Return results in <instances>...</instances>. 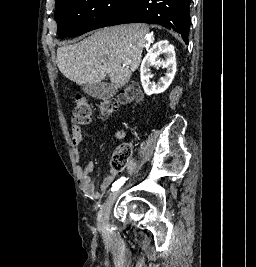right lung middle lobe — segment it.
Instances as JSON below:
<instances>
[{
	"label": "right lung middle lobe",
	"mask_w": 256,
	"mask_h": 267,
	"mask_svg": "<svg viewBox=\"0 0 256 267\" xmlns=\"http://www.w3.org/2000/svg\"><path fill=\"white\" fill-rule=\"evenodd\" d=\"M137 0H59L55 20L59 37L79 36L101 28L128 11Z\"/></svg>",
	"instance_id": "right-lung-middle-lobe-1"
}]
</instances>
